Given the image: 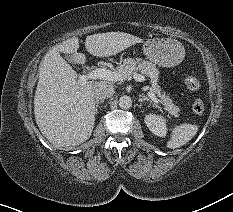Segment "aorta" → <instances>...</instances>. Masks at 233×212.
<instances>
[{
	"mask_svg": "<svg viewBox=\"0 0 233 212\" xmlns=\"http://www.w3.org/2000/svg\"><path fill=\"white\" fill-rule=\"evenodd\" d=\"M119 106L122 109H129L132 106V99L127 95L121 96L119 98Z\"/></svg>",
	"mask_w": 233,
	"mask_h": 212,
	"instance_id": "762f6f07",
	"label": "aorta"
}]
</instances>
